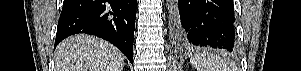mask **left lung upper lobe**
Listing matches in <instances>:
<instances>
[{
	"instance_id": "5c2ea615",
	"label": "left lung upper lobe",
	"mask_w": 301,
	"mask_h": 71,
	"mask_svg": "<svg viewBox=\"0 0 301 71\" xmlns=\"http://www.w3.org/2000/svg\"><path fill=\"white\" fill-rule=\"evenodd\" d=\"M172 36H173V39H175V34H174L173 28H172Z\"/></svg>"
}]
</instances>
